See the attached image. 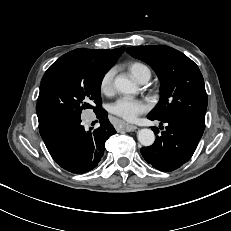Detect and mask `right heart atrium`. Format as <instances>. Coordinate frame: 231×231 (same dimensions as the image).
<instances>
[{
    "label": "right heart atrium",
    "mask_w": 231,
    "mask_h": 231,
    "mask_svg": "<svg viewBox=\"0 0 231 231\" xmlns=\"http://www.w3.org/2000/svg\"><path fill=\"white\" fill-rule=\"evenodd\" d=\"M114 77L115 69L110 68L102 75L99 83V89L101 93L105 95H110L114 91Z\"/></svg>",
    "instance_id": "right-heart-atrium-1"
}]
</instances>
